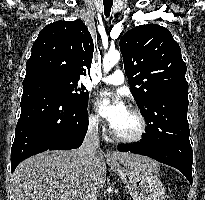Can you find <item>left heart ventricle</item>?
<instances>
[{
	"instance_id": "b2bd125f",
	"label": "left heart ventricle",
	"mask_w": 205,
	"mask_h": 200,
	"mask_svg": "<svg viewBox=\"0 0 205 200\" xmlns=\"http://www.w3.org/2000/svg\"><path fill=\"white\" fill-rule=\"evenodd\" d=\"M138 128V119L130 110L127 109L113 129L122 135H133L137 132Z\"/></svg>"
}]
</instances>
